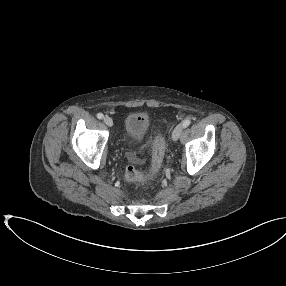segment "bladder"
Wrapping results in <instances>:
<instances>
[{"mask_svg":"<svg viewBox=\"0 0 286 286\" xmlns=\"http://www.w3.org/2000/svg\"><path fill=\"white\" fill-rule=\"evenodd\" d=\"M149 129V119L144 114H132L125 119L124 130L129 140L143 138Z\"/></svg>","mask_w":286,"mask_h":286,"instance_id":"obj_1","label":"bladder"}]
</instances>
